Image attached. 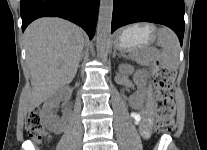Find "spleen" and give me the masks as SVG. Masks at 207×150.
<instances>
[{
  "label": "spleen",
  "instance_id": "1",
  "mask_svg": "<svg viewBox=\"0 0 207 150\" xmlns=\"http://www.w3.org/2000/svg\"><path fill=\"white\" fill-rule=\"evenodd\" d=\"M157 46L163 50L160 58L165 69L176 70L179 62L180 45L176 34L169 28H159L157 32Z\"/></svg>",
  "mask_w": 207,
  "mask_h": 150
}]
</instances>
